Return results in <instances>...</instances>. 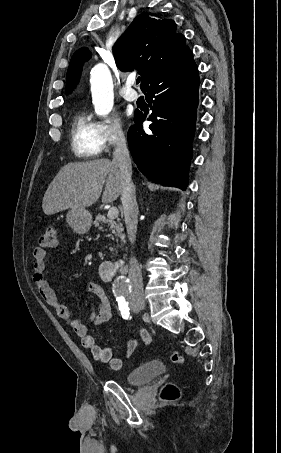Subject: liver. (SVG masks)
<instances>
[{
    "label": "liver",
    "mask_w": 281,
    "mask_h": 453,
    "mask_svg": "<svg viewBox=\"0 0 281 453\" xmlns=\"http://www.w3.org/2000/svg\"><path fill=\"white\" fill-rule=\"evenodd\" d=\"M113 202L122 192L121 174L117 162L109 158L68 162L50 182L42 202L45 214H55L66 208H86L98 200Z\"/></svg>",
    "instance_id": "obj_1"
}]
</instances>
